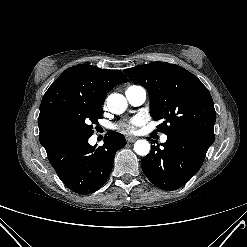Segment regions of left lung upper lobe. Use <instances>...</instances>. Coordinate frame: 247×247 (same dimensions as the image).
<instances>
[{"label": "left lung upper lobe", "mask_w": 247, "mask_h": 247, "mask_svg": "<svg viewBox=\"0 0 247 247\" xmlns=\"http://www.w3.org/2000/svg\"><path fill=\"white\" fill-rule=\"evenodd\" d=\"M144 86L150 98V114L161 120L157 131L182 134L213 144L216 112L203 83L186 69L167 62H153L124 70Z\"/></svg>", "instance_id": "1"}]
</instances>
